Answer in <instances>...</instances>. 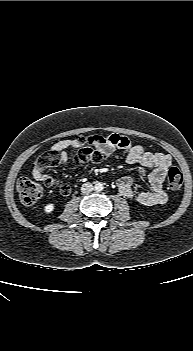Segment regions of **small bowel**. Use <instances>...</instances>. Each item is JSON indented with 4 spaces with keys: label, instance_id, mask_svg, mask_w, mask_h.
Instances as JSON below:
<instances>
[{
    "label": "small bowel",
    "instance_id": "c3829d8e",
    "mask_svg": "<svg viewBox=\"0 0 193 351\" xmlns=\"http://www.w3.org/2000/svg\"><path fill=\"white\" fill-rule=\"evenodd\" d=\"M105 144L99 150L105 156H111L117 149L126 153V162L129 165H139L149 171L148 182L150 189L137 192L133 187V180L130 177H122L117 180L119 193L127 198L135 199L145 206L162 205L167 201V194L163 189V183L172 159L163 153L147 151L143 146L132 143L127 137L112 134L105 137ZM80 146L76 139L60 140L52 145V150L59 153L61 161L66 164L69 158V151ZM38 180L47 183L48 177L45 174H33ZM52 187L51 185H48ZM68 194L70 193V187Z\"/></svg>",
    "mask_w": 193,
    "mask_h": 351
}]
</instances>
